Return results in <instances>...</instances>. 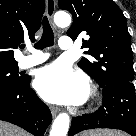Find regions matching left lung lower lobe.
Returning <instances> with one entry per match:
<instances>
[{"label": "left lung lower lobe", "mask_w": 136, "mask_h": 136, "mask_svg": "<svg viewBox=\"0 0 136 136\" xmlns=\"http://www.w3.org/2000/svg\"><path fill=\"white\" fill-rule=\"evenodd\" d=\"M94 128L120 129L136 136V100L132 82L105 85L102 106L92 114L73 118L68 136Z\"/></svg>", "instance_id": "0a47b994"}]
</instances>
